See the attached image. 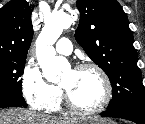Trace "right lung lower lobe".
<instances>
[{
	"instance_id": "right-lung-lower-lobe-1",
	"label": "right lung lower lobe",
	"mask_w": 145,
	"mask_h": 124,
	"mask_svg": "<svg viewBox=\"0 0 145 124\" xmlns=\"http://www.w3.org/2000/svg\"><path fill=\"white\" fill-rule=\"evenodd\" d=\"M6 107H25L27 105L25 103L22 95H1L0 96V108Z\"/></svg>"
}]
</instances>
